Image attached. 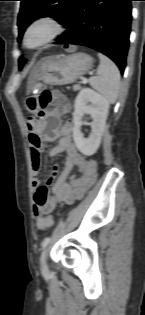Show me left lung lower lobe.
Returning <instances> with one entry per match:
<instances>
[{"mask_svg":"<svg viewBox=\"0 0 145 315\" xmlns=\"http://www.w3.org/2000/svg\"><path fill=\"white\" fill-rule=\"evenodd\" d=\"M131 1L76 0L55 44H76L95 49L111 58L121 73L126 66L131 31Z\"/></svg>","mask_w":145,"mask_h":315,"instance_id":"1","label":"left lung lower lobe"}]
</instances>
